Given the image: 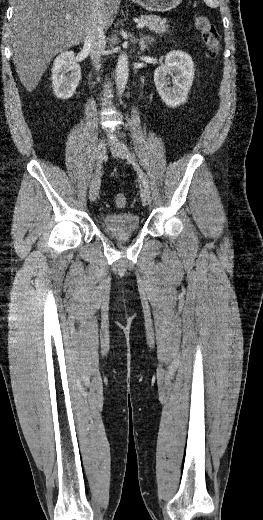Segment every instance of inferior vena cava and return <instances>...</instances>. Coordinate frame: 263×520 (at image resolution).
Returning <instances> with one entry per match:
<instances>
[{
    "instance_id": "obj_1",
    "label": "inferior vena cava",
    "mask_w": 263,
    "mask_h": 520,
    "mask_svg": "<svg viewBox=\"0 0 263 520\" xmlns=\"http://www.w3.org/2000/svg\"><path fill=\"white\" fill-rule=\"evenodd\" d=\"M99 2L100 0H95L97 5ZM105 44L102 16L98 9L93 8L90 12L89 22L85 31L84 48L90 52L92 62L97 71L101 68L100 61Z\"/></svg>"
}]
</instances>
